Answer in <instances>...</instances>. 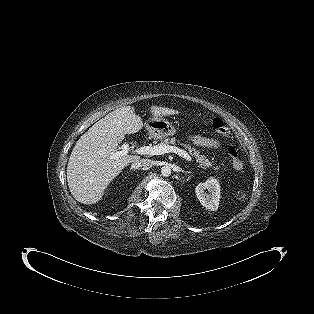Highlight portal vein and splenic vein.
Segmentation results:
<instances>
[{"label": "portal vein and splenic vein", "instance_id": "obj_1", "mask_svg": "<svg viewBox=\"0 0 314 314\" xmlns=\"http://www.w3.org/2000/svg\"><path fill=\"white\" fill-rule=\"evenodd\" d=\"M130 146L127 143H124L121 145L120 147V151H117L113 154V157L118 158L124 155H127L130 151ZM134 153L136 154H140V155H162L165 153H176L179 156L183 157L184 159H186L187 161H191L192 158L190 157V155L182 150L179 149L178 147L175 146H169V145H165V144H159L156 146H142V147H138L136 149L133 150Z\"/></svg>", "mask_w": 314, "mask_h": 314}]
</instances>
